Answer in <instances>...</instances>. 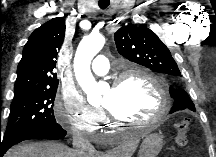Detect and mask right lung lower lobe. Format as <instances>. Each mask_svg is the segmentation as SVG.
I'll return each instance as SVG.
<instances>
[{
  "mask_svg": "<svg viewBox=\"0 0 216 157\" xmlns=\"http://www.w3.org/2000/svg\"><path fill=\"white\" fill-rule=\"evenodd\" d=\"M66 134L67 132L60 125L30 130L28 132L16 135L12 138L2 141V143H0V157H3V155L11 146L21 141L32 139L57 140L63 138Z\"/></svg>",
  "mask_w": 216,
  "mask_h": 157,
  "instance_id": "1",
  "label": "right lung lower lobe"
}]
</instances>
